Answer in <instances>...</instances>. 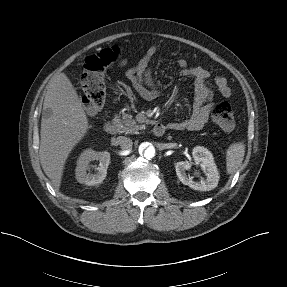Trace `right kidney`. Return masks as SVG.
<instances>
[{"instance_id": "ca27d5eb", "label": "right kidney", "mask_w": 287, "mask_h": 287, "mask_svg": "<svg viewBox=\"0 0 287 287\" xmlns=\"http://www.w3.org/2000/svg\"><path fill=\"white\" fill-rule=\"evenodd\" d=\"M93 160H99L100 162L95 174L87 172L89 170V164ZM109 164V152H96L92 149H86L81 153L77 160V166L75 169L76 179L79 183L88 186L99 184L105 179Z\"/></svg>"}]
</instances>
